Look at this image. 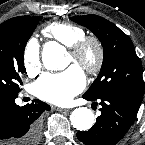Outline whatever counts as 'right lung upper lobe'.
<instances>
[{
	"mask_svg": "<svg viewBox=\"0 0 145 145\" xmlns=\"http://www.w3.org/2000/svg\"><path fill=\"white\" fill-rule=\"evenodd\" d=\"M35 17V16H33ZM33 17L31 16H19L11 18L0 25V32L1 31H10L16 29L27 22H29Z\"/></svg>",
	"mask_w": 145,
	"mask_h": 145,
	"instance_id": "right-lung-upper-lobe-1",
	"label": "right lung upper lobe"
}]
</instances>
